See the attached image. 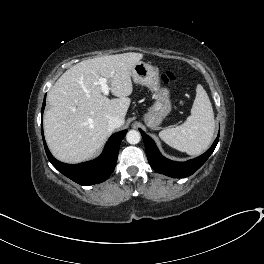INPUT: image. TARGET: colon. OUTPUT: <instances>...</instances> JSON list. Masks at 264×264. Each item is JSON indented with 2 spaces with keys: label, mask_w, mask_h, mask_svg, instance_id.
Returning a JSON list of instances; mask_svg holds the SVG:
<instances>
[{
  "label": "colon",
  "mask_w": 264,
  "mask_h": 264,
  "mask_svg": "<svg viewBox=\"0 0 264 264\" xmlns=\"http://www.w3.org/2000/svg\"><path fill=\"white\" fill-rule=\"evenodd\" d=\"M161 79L164 83L170 84L176 80V76L174 75V73L167 71L161 75Z\"/></svg>",
  "instance_id": "colon-1"
}]
</instances>
